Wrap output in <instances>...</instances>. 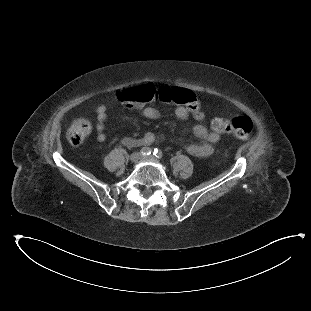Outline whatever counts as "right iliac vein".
<instances>
[{
  "instance_id": "1",
  "label": "right iliac vein",
  "mask_w": 311,
  "mask_h": 311,
  "mask_svg": "<svg viewBox=\"0 0 311 311\" xmlns=\"http://www.w3.org/2000/svg\"><path fill=\"white\" fill-rule=\"evenodd\" d=\"M141 158H142L141 153H139V152H134V153H132L131 156H130V161H131V162H137V161H139Z\"/></svg>"
}]
</instances>
